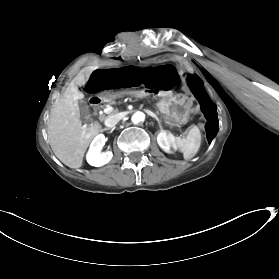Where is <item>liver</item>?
<instances>
[{
  "label": "liver",
  "instance_id": "liver-1",
  "mask_svg": "<svg viewBox=\"0 0 279 279\" xmlns=\"http://www.w3.org/2000/svg\"><path fill=\"white\" fill-rule=\"evenodd\" d=\"M93 68H84L69 84L64 94L50 111L48 139L55 156L66 166L81 167L84 153L102 126L97 122L83 126L79 101L84 94L78 90L88 82Z\"/></svg>",
  "mask_w": 279,
  "mask_h": 279
}]
</instances>
